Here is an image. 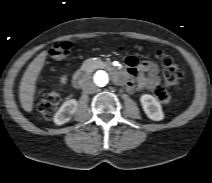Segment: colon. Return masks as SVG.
<instances>
[{
    "mask_svg": "<svg viewBox=\"0 0 212 183\" xmlns=\"http://www.w3.org/2000/svg\"><path fill=\"white\" fill-rule=\"evenodd\" d=\"M73 54V47L70 42H60L55 44L50 50L49 55L57 60H62L70 57ZM163 66V87H159L155 96L161 103H168L170 101V93L167 87L178 86L183 80V73L181 69L175 64L173 59L162 51L157 53ZM60 103V95L57 91H51L42 96L38 111L45 119H50L56 112Z\"/></svg>",
    "mask_w": 212,
    "mask_h": 183,
    "instance_id": "1",
    "label": "colon"
}]
</instances>
